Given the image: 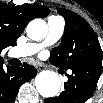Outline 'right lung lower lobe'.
<instances>
[{
  "label": "right lung lower lobe",
  "instance_id": "1",
  "mask_svg": "<svg viewBox=\"0 0 103 103\" xmlns=\"http://www.w3.org/2000/svg\"><path fill=\"white\" fill-rule=\"evenodd\" d=\"M35 75L36 69L29 64L19 68L8 66L4 70L0 62V103H14L20 86Z\"/></svg>",
  "mask_w": 103,
  "mask_h": 103
}]
</instances>
